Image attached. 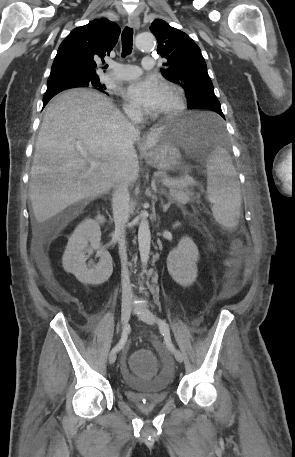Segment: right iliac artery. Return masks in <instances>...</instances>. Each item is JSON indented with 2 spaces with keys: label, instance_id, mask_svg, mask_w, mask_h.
<instances>
[{
  "label": "right iliac artery",
  "instance_id": "obj_1",
  "mask_svg": "<svg viewBox=\"0 0 295 457\" xmlns=\"http://www.w3.org/2000/svg\"><path fill=\"white\" fill-rule=\"evenodd\" d=\"M128 330H129V325H126L123 330L122 337H121L119 343L113 348V350L119 351L120 349L123 348V346L125 345L126 340H127Z\"/></svg>",
  "mask_w": 295,
  "mask_h": 457
}]
</instances>
